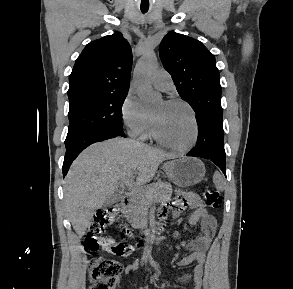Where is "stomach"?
Wrapping results in <instances>:
<instances>
[{
    "label": "stomach",
    "mask_w": 293,
    "mask_h": 289,
    "mask_svg": "<svg viewBox=\"0 0 293 289\" xmlns=\"http://www.w3.org/2000/svg\"><path fill=\"white\" fill-rule=\"evenodd\" d=\"M163 168L167 177L181 187L198 184L206 172L203 162L194 157L177 158L165 163Z\"/></svg>",
    "instance_id": "obj_1"
}]
</instances>
